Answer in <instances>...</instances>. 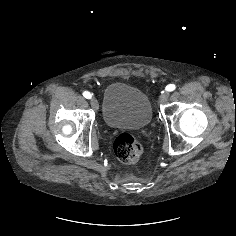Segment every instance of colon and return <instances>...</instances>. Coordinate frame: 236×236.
<instances>
[{
	"mask_svg": "<svg viewBox=\"0 0 236 236\" xmlns=\"http://www.w3.org/2000/svg\"><path fill=\"white\" fill-rule=\"evenodd\" d=\"M117 158L126 164L136 163L142 156L144 147L139 138L129 133L119 134L114 141Z\"/></svg>",
	"mask_w": 236,
	"mask_h": 236,
	"instance_id": "obj_1",
	"label": "colon"
}]
</instances>
